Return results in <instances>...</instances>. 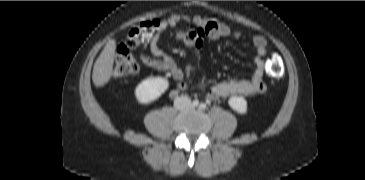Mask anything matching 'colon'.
Wrapping results in <instances>:
<instances>
[{
    "instance_id": "obj_1",
    "label": "colon",
    "mask_w": 365,
    "mask_h": 180,
    "mask_svg": "<svg viewBox=\"0 0 365 180\" xmlns=\"http://www.w3.org/2000/svg\"><path fill=\"white\" fill-rule=\"evenodd\" d=\"M159 21L148 20L133 27L127 34L125 42L118 48L113 65L116 76H128L136 74L139 63L131 53V49L146 44L158 31ZM266 69L270 76L278 79L283 74V60L281 56L273 52L266 61Z\"/></svg>"
}]
</instances>
